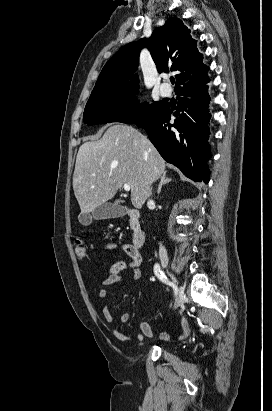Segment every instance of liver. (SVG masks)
<instances>
[{
  "label": "liver",
  "instance_id": "6515ba94",
  "mask_svg": "<svg viewBox=\"0 0 272 411\" xmlns=\"http://www.w3.org/2000/svg\"><path fill=\"white\" fill-rule=\"evenodd\" d=\"M165 167L141 132L122 124L109 127L101 139L82 144L77 154L73 190L81 213L88 214L113 198L124 184L130 185L131 202L140 209Z\"/></svg>",
  "mask_w": 272,
  "mask_h": 411
}]
</instances>
